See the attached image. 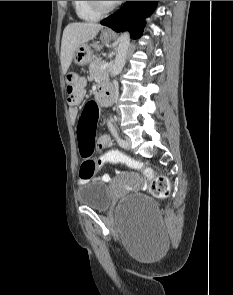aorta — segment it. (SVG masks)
<instances>
[{
	"instance_id": "762f6f07",
	"label": "aorta",
	"mask_w": 233,
	"mask_h": 295,
	"mask_svg": "<svg viewBox=\"0 0 233 295\" xmlns=\"http://www.w3.org/2000/svg\"><path fill=\"white\" fill-rule=\"evenodd\" d=\"M129 45H130V35L128 32H124L120 36V43H119L117 54L112 66L111 76H116L122 71L125 65Z\"/></svg>"
}]
</instances>
